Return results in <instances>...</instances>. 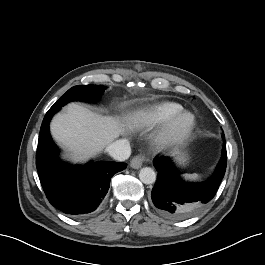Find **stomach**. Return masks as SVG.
Wrapping results in <instances>:
<instances>
[{
  "label": "stomach",
  "mask_w": 265,
  "mask_h": 265,
  "mask_svg": "<svg viewBox=\"0 0 265 265\" xmlns=\"http://www.w3.org/2000/svg\"><path fill=\"white\" fill-rule=\"evenodd\" d=\"M173 156L176 158L178 164L182 166L187 165L189 161L188 155L180 151H174Z\"/></svg>",
  "instance_id": "0dacf381"
}]
</instances>
